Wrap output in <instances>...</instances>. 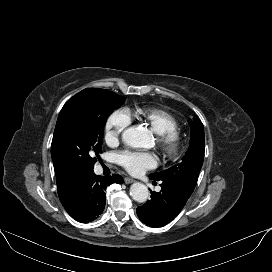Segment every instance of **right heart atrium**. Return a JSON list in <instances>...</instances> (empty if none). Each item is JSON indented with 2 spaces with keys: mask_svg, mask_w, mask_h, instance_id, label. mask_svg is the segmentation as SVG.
<instances>
[{
  "mask_svg": "<svg viewBox=\"0 0 272 272\" xmlns=\"http://www.w3.org/2000/svg\"><path fill=\"white\" fill-rule=\"evenodd\" d=\"M131 119L123 109L115 110L107 119L104 126V140L109 145H115L123 133L131 125Z\"/></svg>",
  "mask_w": 272,
  "mask_h": 272,
  "instance_id": "d8ad5b80",
  "label": "right heart atrium"
}]
</instances>
